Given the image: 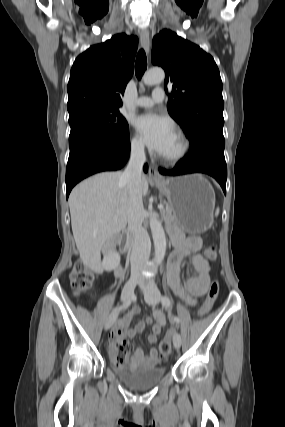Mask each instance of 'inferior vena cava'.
I'll list each match as a JSON object with an SVG mask.
<instances>
[{
  "instance_id": "602c4592",
  "label": "inferior vena cava",
  "mask_w": 285,
  "mask_h": 427,
  "mask_svg": "<svg viewBox=\"0 0 285 427\" xmlns=\"http://www.w3.org/2000/svg\"><path fill=\"white\" fill-rule=\"evenodd\" d=\"M145 162L143 145H135L131 149V155L122 179L126 182L128 204V228L133 235L131 251V274L139 276L150 256L151 243L143 222V202L141 194L142 168Z\"/></svg>"
}]
</instances>
